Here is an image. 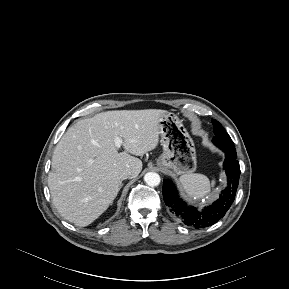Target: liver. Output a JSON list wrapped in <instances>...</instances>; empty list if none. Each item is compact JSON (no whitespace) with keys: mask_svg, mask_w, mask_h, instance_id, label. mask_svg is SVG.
<instances>
[{"mask_svg":"<svg viewBox=\"0 0 289 289\" xmlns=\"http://www.w3.org/2000/svg\"><path fill=\"white\" fill-rule=\"evenodd\" d=\"M164 113L108 111L68 128L55 147L48 175L52 203L64 219L84 227L107 210L120 190V171L129 168L137 176L143 165L135 156L157 147ZM115 136L123 140L125 152H118Z\"/></svg>","mask_w":289,"mask_h":289,"instance_id":"obj_1","label":"liver"}]
</instances>
